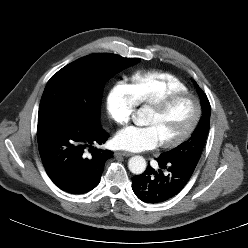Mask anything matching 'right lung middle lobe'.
Returning a JSON list of instances; mask_svg holds the SVG:
<instances>
[{"label":"right lung middle lobe","mask_w":248,"mask_h":248,"mask_svg":"<svg viewBox=\"0 0 248 248\" xmlns=\"http://www.w3.org/2000/svg\"><path fill=\"white\" fill-rule=\"evenodd\" d=\"M138 61L137 58H123L111 53H94L66 65L50 78L45 87L38 122L59 119L77 126L99 125L105 83Z\"/></svg>","instance_id":"1"}]
</instances>
